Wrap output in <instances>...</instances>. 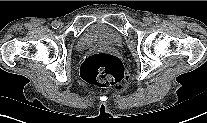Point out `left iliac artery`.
<instances>
[{"mask_svg":"<svg viewBox=\"0 0 207 123\" xmlns=\"http://www.w3.org/2000/svg\"><path fill=\"white\" fill-rule=\"evenodd\" d=\"M153 21L157 23L160 21V19L157 16H154Z\"/></svg>","mask_w":207,"mask_h":123,"instance_id":"obj_1","label":"left iliac artery"}]
</instances>
